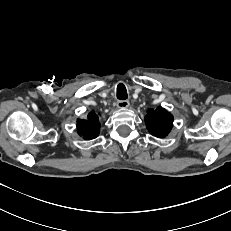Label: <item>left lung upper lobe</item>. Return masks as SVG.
<instances>
[{
  "label": "left lung upper lobe",
  "instance_id": "obj_1",
  "mask_svg": "<svg viewBox=\"0 0 231 231\" xmlns=\"http://www.w3.org/2000/svg\"><path fill=\"white\" fill-rule=\"evenodd\" d=\"M145 124L152 135L163 138L172 129L173 116L162 107L148 109Z\"/></svg>",
  "mask_w": 231,
  "mask_h": 231
}]
</instances>
